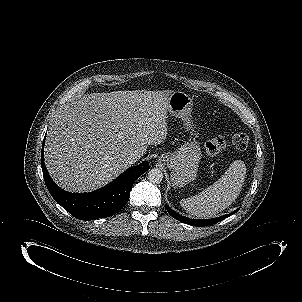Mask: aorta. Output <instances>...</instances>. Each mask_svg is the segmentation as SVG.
I'll return each instance as SVG.
<instances>
[{"label":"aorta","mask_w":302,"mask_h":302,"mask_svg":"<svg viewBox=\"0 0 302 302\" xmlns=\"http://www.w3.org/2000/svg\"><path fill=\"white\" fill-rule=\"evenodd\" d=\"M163 173L160 169L158 168H153L148 171L147 173V178L148 180L153 183V184H159L163 180Z\"/></svg>","instance_id":"1"}]
</instances>
